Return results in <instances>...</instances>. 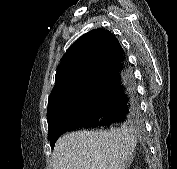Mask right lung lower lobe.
<instances>
[{
	"mask_svg": "<svg viewBox=\"0 0 177 169\" xmlns=\"http://www.w3.org/2000/svg\"><path fill=\"white\" fill-rule=\"evenodd\" d=\"M92 97L79 113L63 120L50 138L53 148L65 132L89 127H109L140 117L133 72L122 52L90 80Z\"/></svg>",
	"mask_w": 177,
	"mask_h": 169,
	"instance_id": "obj_1",
	"label": "right lung lower lobe"
}]
</instances>
